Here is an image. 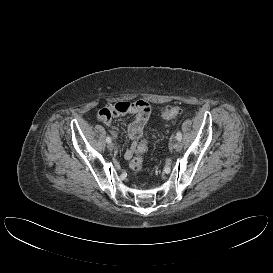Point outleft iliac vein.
<instances>
[{"label":"left iliac vein","mask_w":273,"mask_h":273,"mask_svg":"<svg viewBox=\"0 0 273 273\" xmlns=\"http://www.w3.org/2000/svg\"><path fill=\"white\" fill-rule=\"evenodd\" d=\"M182 142L180 140H178L175 145H174V148L176 151H180L182 149Z\"/></svg>","instance_id":"4c4485c4"}]
</instances>
